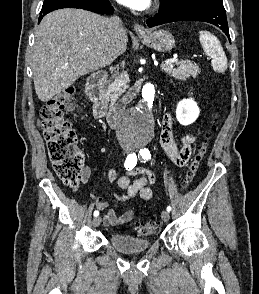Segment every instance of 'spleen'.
Segmentation results:
<instances>
[{
	"instance_id": "3e777b00",
	"label": "spleen",
	"mask_w": 259,
	"mask_h": 294,
	"mask_svg": "<svg viewBox=\"0 0 259 294\" xmlns=\"http://www.w3.org/2000/svg\"><path fill=\"white\" fill-rule=\"evenodd\" d=\"M199 40L204 52L211 58L213 70L224 73L227 69V57L217 37L209 31H199Z\"/></svg>"
}]
</instances>
